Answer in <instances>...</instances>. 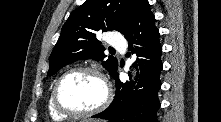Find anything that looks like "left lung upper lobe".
Returning a JSON list of instances; mask_svg holds the SVG:
<instances>
[{"label":"left lung upper lobe","mask_w":221,"mask_h":122,"mask_svg":"<svg viewBox=\"0 0 221 122\" xmlns=\"http://www.w3.org/2000/svg\"><path fill=\"white\" fill-rule=\"evenodd\" d=\"M137 2L138 0H86L70 14L63 25L50 55L47 75H53L65 65L77 60L104 59V47L97 40V33L116 30L125 34ZM103 66L114 76L118 61L109 56Z\"/></svg>","instance_id":"1"}]
</instances>
